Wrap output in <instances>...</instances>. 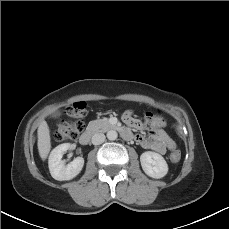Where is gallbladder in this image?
<instances>
[{
  "instance_id": "gallbladder-1",
  "label": "gallbladder",
  "mask_w": 229,
  "mask_h": 229,
  "mask_svg": "<svg viewBox=\"0 0 229 229\" xmlns=\"http://www.w3.org/2000/svg\"><path fill=\"white\" fill-rule=\"evenodd\" d=\"M61 115L60 111H56L52 114V117H59Z\"/></svg>"
}]
</instances>
